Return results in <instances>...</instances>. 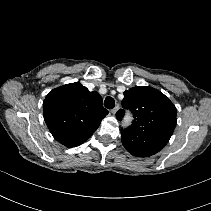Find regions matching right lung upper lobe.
I'll list each match as a JSON object with an SVG mask.
<instances>
[{
    "mask_svg": "<svg viewBox=\"0 0 211 211\" xmlns=\"http://www.w3.org/2000/svg\"><path fill=\"white\" fill-rule=\"evenodd\" d=\"M45 122L53 137L66 147L85 142L108 114L102 97L79 82L53 89L43 102Z\"/></svg>",
    "mask_w": 211,
    "mask_h": 211,
    "instance_id": "cb5924a9",
    "label": "right lung upper lobe"
}]
</instances>
